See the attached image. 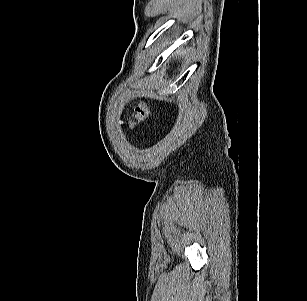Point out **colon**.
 Returning a JSON list of instances; mask_svg holds the SVG:
<instances>
[{"label":"colon","mask_w":307,"mask_h":301,"mask_svg":"<svg viewBox=\"0 0 307 301\" xmlns=\"http://www.w3.org/2000/svg\"><path fill=\"white\" fill-rule=\"evenodd\" d=\"M150 116V109L148 105L144 101H139L135 108L131 117L122 122L125 127L130 130H133L137 125L146 121Z\"/></svg>","instance_id":"obj_1"}]
</instances>
